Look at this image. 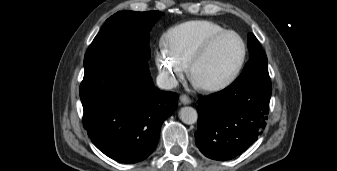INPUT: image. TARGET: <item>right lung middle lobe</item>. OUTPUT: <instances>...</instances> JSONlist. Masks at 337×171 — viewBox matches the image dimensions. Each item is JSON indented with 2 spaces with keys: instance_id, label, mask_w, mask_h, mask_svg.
<instances>
[{
  "instance_id": "obj_1",
  "label": "right lung middle lobe",
  "mask_w": 337,
  "mask_h": 171,
  "mask_svg": "<svg viewBox=\"0 0 337 171\" xmlns=\"http://www.w3.org/2000/svg\"><path fill=\"white\" fill-rule=\"evenodd\" d=\"M162 15L160 11L117 12L106 20L89 46L84 66L98 58L114 54L149 60V32Z\"/></svg>"
}]
</instances>
